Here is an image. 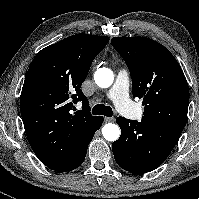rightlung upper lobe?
I'll list each match as a JSON object with an SVG mask.
<instances>
[{
  "instance_id": "right-lung-upper-lobe-1",
  "label": "right lung upper lobe",
  "mask_w": 199,
  "mask_h": 199,
  "mask_svg": "<svg viewBox=\"0 0 199 199\" xmlns=\"http://www.w3.org/2000/svg\"><path fill=\"white\" fill-rule=\"evenodd\" d=\"M109 37L76 34L42 49L26 74L20 110L26 134L40 129L48 140L47 155L57 157L76 132L90 126L92 116L82 83L92 61ZM82 102V110L73 103Z\"/></svg>"
}]
</instances>
